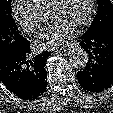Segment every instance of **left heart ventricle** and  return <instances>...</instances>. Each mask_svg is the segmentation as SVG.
Returning <instances> with one entry per match:
<instances>
[{
	"mask_svg": "<svg viewBox=\"0 0 113 113\" xmlns=\"http://www.w3.org/2000/svg\"><path fill=\"white\" fill-rule=\"evenodd\" d=\"M87 9L88 0H60L46 17L50 22L60 21L75 28L86 16Z\"/></svg>",
	"mask_w": 113,
	"mask_h": 113,
	"instance_id": "b2bd125f",
	"label": "left heart ventricle"
}]
</instances>
